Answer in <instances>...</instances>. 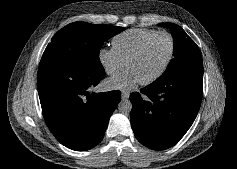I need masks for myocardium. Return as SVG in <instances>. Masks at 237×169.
<instances>
[{"label":"myocardium","instance_id":"myocardium-1","mask_svg":"<svg viewBox=\"0 0 237 169\" xmlns=\"http://www.w3.org/2000/svg\"><path fill=\"white\" fill-rule=\"evenodd\" d=\"M160 35H165L170 40V52H169L168 58H167L166 62L164 63V65L162 66V68L156 74H154L153 76L149 77L146 80H141L140 81V84H142V85H148V84H151V83L155 82L156 80L161 78L164 75V73L167 71L168 67L170 66V64L172 62L174 52H175V41H174L173 36L167 31L156 32L155 34H153V35L149 36L148 38H146L142 42V44L138 47V49L126 61V68H129L130 63L133 60H135L136 58H138L143 53L144 49L147 47V45L154 38H156L157 36H160Z\"/></svg>","mask_w":237,"mask_h":169}]
</instances>
